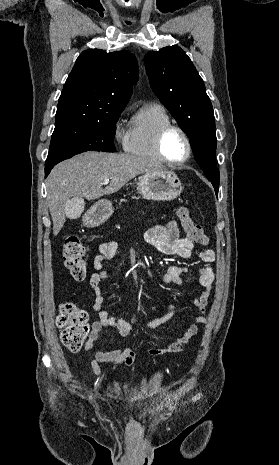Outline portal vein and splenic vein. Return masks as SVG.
Listing matches in <instances>:
<instances>
[{
	"label": "portal vein and splenic vein",
	"instance_id": "obj_1",
	"mask_svg": "<svg viewBox=\"0 0 279 465\" xmlns=\"http://www.w3.org/2000/svg\"><path fill=\"white\" fill-rule=\"evenodd\" d=\"M108 183H109V179H106L104 180L103 185L108 184Z\"/></svg>",
	"mask_w": 279,
	"mask_h": 465
}]
</instances>
